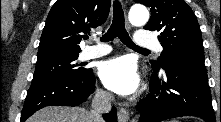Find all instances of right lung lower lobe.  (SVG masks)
<instances>
[{"label": "right lung lower lobe", "instance_id": "obj_1", "mask_svg": "<svg viewBox=\"0 0 221 122\" xmlns=\"http://www.w3.org/2000/svg\"><path fill=\"white\" fill-rule=\"evenodd\" d=\"M95 90L93 70L81 77H69L57 80L32 83L27 92L20 122H24L37 110L51 105L77 106L82 104ZM107 122H117L116 109L105 114Z\"/></svg>", "mask_w": 221, "mask_h": 122}]
</instances>
